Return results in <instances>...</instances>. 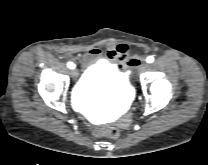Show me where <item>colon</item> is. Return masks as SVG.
I'll list each match as a JSON object with an SVG mask.
<instances>
[{"label":"colon","mask_w":208,"mask_h":165,"mask_svg":"<svg viewBox=\"0 0 208 165\" xmlns=\"http://www.w3.org/2000/svg\"><path fill=\"white\" fill-rule=\"evenodd\" d=\"M120 135V131L116 127H107L104 129L96 130L94 136L97 138H117Z\"/></svg>","instance_id":"1"}]
</instances>
